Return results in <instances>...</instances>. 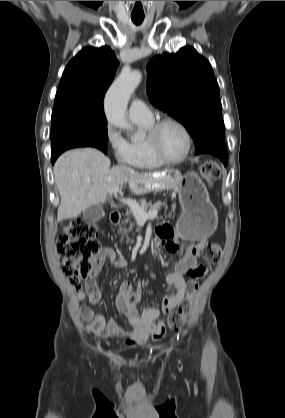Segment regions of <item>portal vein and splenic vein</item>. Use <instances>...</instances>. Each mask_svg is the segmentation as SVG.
<instances>
[{
	"instance_id": "obj_1",
	"label": "portal vein and splenic vein",
	"mask_w": 285,
	"mask_h": 418,
	"mask_svg": "<svg viewBox=\"0 0 285 418\" xmlns=\"http://www.w3.org/2000/svg\"><path fill=\"white\" fill-rule=\"evenodd\" d=\"M120 188L116 187L110 190V194L116 195L119 193ZM121 202L130 207L135 218L140 222H145L147 219H154L157 217V209H152L149 212H146L135 200L132 199H121Z\"/></svg>"
}]
</instances>
